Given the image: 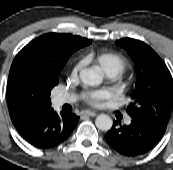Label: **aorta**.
I'll return each mask as SVG.
<instances>
[{
    "mask_svg": "<svg viewBox=\"0 0 173 170\" xmlns=\"http://www.w3.org/2000/svg\"><path fill=\"white\" fill-rule=\"evenodd\" d=\"M81 81L88 86L99 85L102 82V76L92 69H83L80 71ZM95 125L99 130L108 131L113 125V121L110 116L101 114L96 117Z\"/></svg>",
    "mask_w": 173,
    "mask_h": 170,
    "instance_id": "762f6f07",
    "label": "aorta"
}]
</instances>
